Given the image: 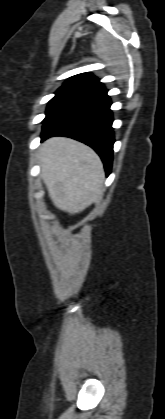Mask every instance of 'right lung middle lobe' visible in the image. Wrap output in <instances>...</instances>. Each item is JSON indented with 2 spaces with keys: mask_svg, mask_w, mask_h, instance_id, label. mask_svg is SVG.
I'll list each match as a JSON object with an SVG mask.
<instances>
[{
  "mask_svg": "<svg viewBox=\"0 0 165 419\" xmlns=\"http://www.w3.org/2000/svg\"><path fill=\"white\" fill-rule=\"evenodd\" d=\"M55 94H56L55 97L52 98L48 104V107L46 110V118L44 119V121L50 115L54 114L55 112L61 110L62 108L68 106L69 104L83 97L79 93L69 92V91L60 90V89Z\"/></svg>",
  "mask_w": 165,
  "mask_h": 419,
  "instance_id": "right-lung-middle-lobe-1",
  "label": "right lung middle lobe"
}]
</instances>
